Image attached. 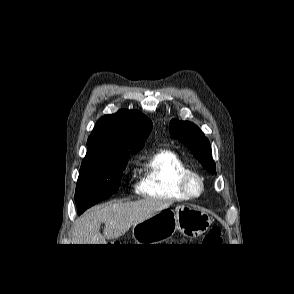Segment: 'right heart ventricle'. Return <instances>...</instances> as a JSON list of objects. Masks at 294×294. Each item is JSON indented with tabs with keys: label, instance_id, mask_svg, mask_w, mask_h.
<instances>
[{
	"label": "right heart ventricle",
	"instance_id": "e07e8e85",
	"mask_svg": "<svg viewBox=\"0 0 294 294\" xmlns=\"http://www.w3.org/2000/svg\"><path fill=\"white\" fill-rule=\"evenodd\" d=\"M186 170L177 153L168 149L158 150L142 159L136 191L149 198L184 199L185 195L179 188V176Z\"/></svg>",
	"mask_w": 294,
	"mask_h": 294
}]
</instances>
